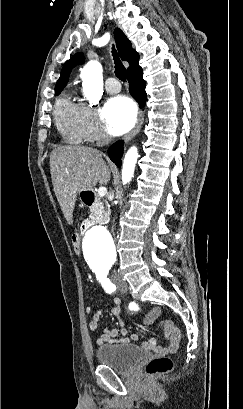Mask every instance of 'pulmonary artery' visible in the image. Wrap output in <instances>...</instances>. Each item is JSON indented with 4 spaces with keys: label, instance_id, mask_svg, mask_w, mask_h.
<instances>
[{
    "label": "pulmonary artery",
    "instance_id": "pulmonary-artery-1",
    "mask_svg": "<svg viewBox=\"0 0 243 409\" xmlns=\"http://www.w3.org/2000/svg\"><path fill=\"white\" fill-rule=\"evenodd\" d=\"M105 89L110 94H116L121 90V86L115 78L111 77L106 80Z\"/></svg>",
    "mask_w": 243,
    "mask_h": 409
}]
</instances>
